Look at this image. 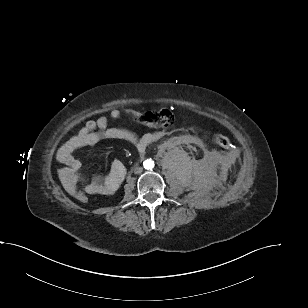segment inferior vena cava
<instances>
[{
	"instance_id": "1",
	"label": "inferior vena cava",
	"mask_w": 308,
	"mask_h": 308,
	"mask_svg": "<svg viewBox=\"0 0 308 308\" xmlns=\"http://www.w3.org/2000/svg\"><path fill=\"white\" fill-rule=\"evenodd\" d=\"M142 171H143V168H142V167H136V168L134 169V173H135V174H140Z\"/></svg>"
}]
</instances>
